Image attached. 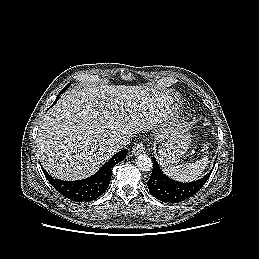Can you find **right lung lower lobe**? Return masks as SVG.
Returning a JSON list of instances; mask_svg holds the SVG:
<instances>
[{
	"mask_svg": "<svg viewBox=\"0 0 259 259\" xmlns=\"http://www.w3.org/2000/svg\"><path fill=\"white\" fill-rule=\"evenodd\" d=\"M61 91L53 105L57 102ZM128 150L124 149L116 153L93 176L78 181H62L54 179L43 168V173L49 183L63 196L73 201H91L98 198L107 189L112 176V168L126 158Z\"/></svg>",
	"mask_w": 259,
	"mask_h": 259,
	"instance_id": "98d812e1",
	"label": "right lung lower lobe"
}]
</instances>
